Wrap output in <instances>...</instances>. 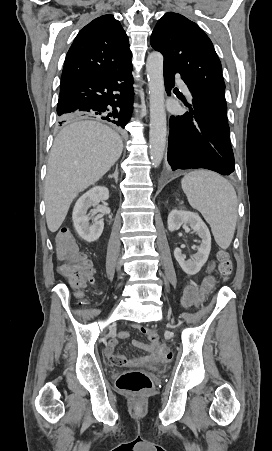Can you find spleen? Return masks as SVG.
<instances>
[{"label": "spleen", "instance_id": "obj_1", "mask_svg": "<svg viewBox=\"0 0 272 451\" xmlns=\"http://www.w3.org/2000/svg\"><path fill=\"white\" fill-rule=\"evenodd\" d=\"M192 208L210 224L216 243L229 247L237 222V196L228 180L207 170H195L181 180Z\"/></svg>", "mask_w": 272, "mask_h": 451}]
</instances>
